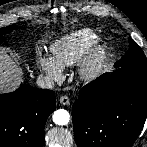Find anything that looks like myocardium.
Wrapping results in <instances>:
<instances>
[{"label":"myocardium","instance_id":"f54148a6","mask_svg":"<svg viewBox=\"0 0 147 147\" xmlns=\"http://www.w3.org/2000/svg\"><path fill=\"white\" fill-rule=\"evenodd\" d=\"M109 59V46L96 42L81 59L78 73L82 80L92 81L106 69Z\"/></svg>","mask_w":147,"mask_h":147}]
</instances>
